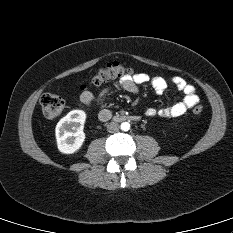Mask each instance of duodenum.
I'll return each instance as SVG.
<instances>
[{"mask_svg":"<svg viewBox=\"0 0 233 233\" xmlns=\"http://www.w3.org/2000/svg\"><path fill=\"white\" fill-rule=\"evenodd\" d=\"M111 117H103V121L109 120ZM115 121L122 122V121H139L140 117L138 115H120L114 118Z\"/></svg>","mask_w":233,"mask_h":233,"instance_id":"410a0bca","label":"duodenum"}]
</instances>
